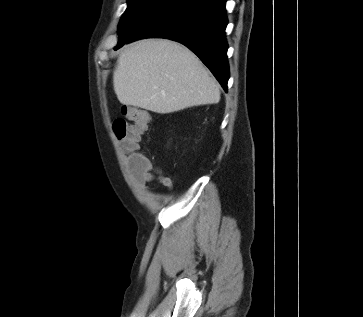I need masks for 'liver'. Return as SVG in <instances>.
Returning <instances> with one entry per match:
<instances>
[{
  "label": "liver",
  "instance_id": "liver-1",
  "mask_svg": "<svg viewBox=\"0 0 363 317\" xmlns=\"http://www.w3.org/2000/svg\"><path fill=\"white\" fill-rule=\"evenodd\" d=\"M113 86L121 104L161 114L220 100L219 85L196 55L165 39L126 46L117 60Z\"/></svg>",
  "mask_w": 363,
  "mask_h": 317
}]
</instances>
